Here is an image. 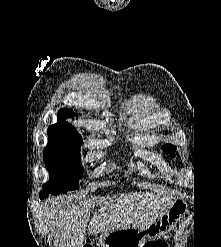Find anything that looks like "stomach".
Masks as SVG:
<instances>
[{"mask_svg":"<svg viewBox=\"0 0 221 247\" xmlns=\"http://www.w3.org/2000/svg\"><path fill=\"white\" fill-rule=\"evenodd\" d=\"M188 212V204L174 199L155 221L144 227H130L100 235L101 247H144L149 240L168 233Z\"/></svg>","mask_w":221,"mask_h":247,"instance_id":"0dacf381","label":"stomach"}]
</instances>
